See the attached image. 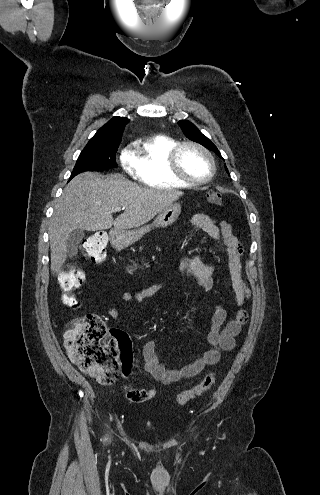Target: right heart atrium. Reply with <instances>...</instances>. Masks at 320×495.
I'll use <instances>...</instances> for the list:
<instances>
[{"instance_id":"1","label":"right heart atrium","mask_w":320,"mask_h":495,"mask_svg":"<svg viewBox=\"0 0 320 495\" xmlns=\"http://www.w3.org/2000/svg\"><path fill=\"white\" fill-rule=\"evenodd\" d=\"M120 163L124 170L134 174L136 168L135 155L131 147H126L120 154Z\"/></svg>"}]
</instances>
